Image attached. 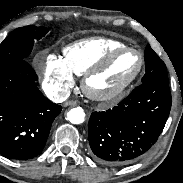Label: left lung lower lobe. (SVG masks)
I'll list each match as a JSON object with an SVG mask.
<instances>
[{
	"label": "left lung lower lobe",
	"instance_id": "obj_1",
	"mask_svg": "<svg viewBox=\"0 0 183 183\" xmlns=\"http://www.w3.org/2000/svg\"><path fill=\"white\" fill-rule=\"evenodd\" d=\"M171 102L168 83L149 82L136 87L113 109L93 112L88 131L93 158L120 166L142 157L162 133Z\"/></svg>",
	"mask_w": 183,
	"mask_h": 183
}]
</instances>
